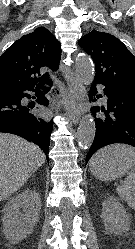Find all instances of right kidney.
I'll return each instance as SVG.
<instances>
[{"label": "right kidney", "mask_w": 135, "mask_h": 249, "mask_svg": "<svg viewBox=\"0 0 135 249\" xmlns=\"http://www.w3.org/2000/svg\"><path fill=\"white\" fill-rule=\"evenodd\" d=\"M40 210V195L35 191L25 190L11 198L4 207L2 218L7 240L17 244L30 235L39 221Z\"/></svg>", "instance_id": "right-kidney-1"}]
</instances>
